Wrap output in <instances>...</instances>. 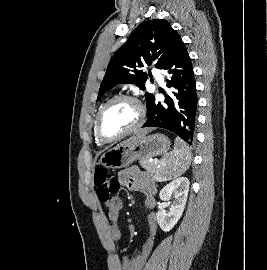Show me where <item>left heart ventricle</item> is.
I'll return each instance as SVG.
<instances>
[{
  "mask_svg": "<svg viewBox=\"0 0 267 270\" xmlns=\"http://www.w3.org/2000/svg\"><path fill=\"white\" fill-rule=\"evenodd\" d=\"M138 118V108L134 103L117 102L104 112L101 119L102 132L107 137H116L131 129Z\"/></svg>",
  "mask_w": 267,
  "mask_h": 270,
  "instance_id": "obj_1",
  "label": "left heart ventricle"
}]
</instances>
